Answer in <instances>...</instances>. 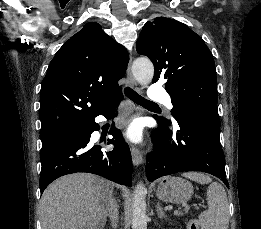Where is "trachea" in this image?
<instances>
[{"label": "trachea", "instance_id": "1", "mask_svg": "<svg viewBox=\"0 0 261 229\" xmlns=\"http://www.w3.org/2000/svg\"><path fill=\"white\" fill-rule=\"evenodd\" d=\"M125 95L133 100L136 104L144 105V104H153L150 100L144 99L141 95L137 94L134 90L130 89V87H125L124 89Z\"/></svg>", "mask_w": 261, "mask_h": 229}]
</instances>
